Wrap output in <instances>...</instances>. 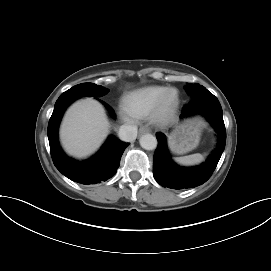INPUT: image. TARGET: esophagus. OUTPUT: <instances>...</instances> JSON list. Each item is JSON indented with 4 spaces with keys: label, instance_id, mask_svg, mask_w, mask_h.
Masks as SVG:
<instances>
[{
    "label": "esophagus",
    "instance_id": "34e87169",
    "mask_svg": "<svg viewBox=\"0 0 271 271\" xmlns=\"http://www.w3.org/2000/svg\"><path fill=\"white\" fill-rule=\"evenodd\" d=\"M150 131V129L148 128V127H146V126H142V127H140V129H139V132L141 133V134H143V133H148Z\"/></svg>",
    "mask_w": 271,
    "mask_h": 271
}]
</instances>
